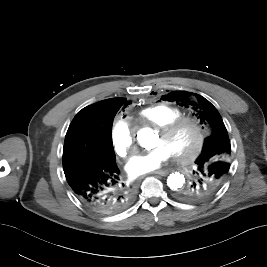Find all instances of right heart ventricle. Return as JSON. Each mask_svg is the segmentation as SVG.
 Instances as JSON below:
<instances>
[{"mask_svg": "<svg viewBox=\"0 0 267 267\" xmlns=\"http://www.w3.org/2000/svg\"><path fill=\"white\" fill-rule=\"evenodd\" d=\"M182 109L168 104H156L142 109L138 113V121L161 127L171 120L183 116Z\"/></svg>", "mask_w": 267, "mask_h": 267, "instance_id": "e07e8e85", "label": "right heart ventricle"}]
</instances>
